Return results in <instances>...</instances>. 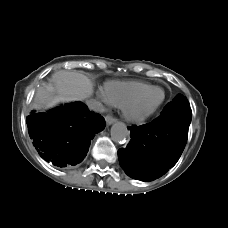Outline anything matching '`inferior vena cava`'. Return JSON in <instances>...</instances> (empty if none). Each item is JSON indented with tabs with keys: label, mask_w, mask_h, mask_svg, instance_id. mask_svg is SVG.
<instances>
[{
	"label": "inferior vena cava",
	"mask_w": 228,
	"mask_h": 228,
	"mask_svg": "<svg viewBox=\"0 0 228 228\" xmlns=\"http://www.w3.org/2000/svg\"><path fill=\"white\" fill-rule=\"evenodd\" d=\"M86 105L92 111H96V112H103L104 111L103 104L100 101L96 100V99L87 100L86 101Z\"/></svg>",
	"instance_id": "obj_1"
}]
</instances>
